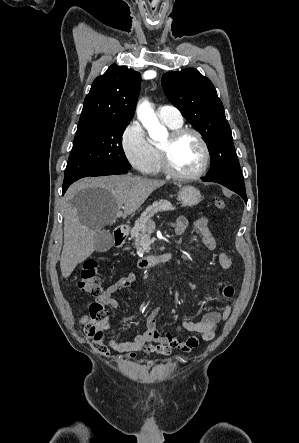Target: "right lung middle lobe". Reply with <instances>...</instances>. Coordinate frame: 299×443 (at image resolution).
<instances>
[{
    "label": "right lung middle lobe",
    "mask_w": 299,
    "mask_h": 443,
    "mask_svg": "<svg viewBox=\"0 0 299 443\" xmlns=\"http://www.w3.org/2000/svg\"><path fill=\"white\" fill-rule=\"evenodd\" d=\"M128 124L129 121L107 122L77 131L63 185L108 169H131L121 145Z\"/></svg>",
    "instance_id": "obj_1"
}]
</instances>
